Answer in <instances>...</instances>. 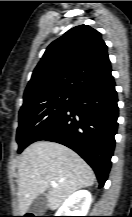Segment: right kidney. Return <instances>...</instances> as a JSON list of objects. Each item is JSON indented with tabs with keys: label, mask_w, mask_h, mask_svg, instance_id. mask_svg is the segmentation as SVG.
<instances>
[{
	"label": "right kidney",
	"mask_w": 132,
	"mask_h": 217,
	"mask_svg": "<svg viewBox=\"0 0 132 217\" xmlns=\"http://www.w3.org/2000/svg\"><path fill=\"white\" fill-rule=\"evenodd\" d=\"M92 202L87 190H78L73 193L55 214L56 216H86ZM72 209V210H71Z\"/></svg>",
	"instance_id": "right-kidney-1"
}]
</instances>
